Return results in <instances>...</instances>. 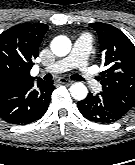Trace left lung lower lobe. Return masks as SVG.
<instances>
[{"instance_id":"0a47b994","label":"left lung lower lobe","mask_w":135,"mask_h":165,"mask_svg":"<svg viewBox=\"0 0 135 165\" xmlns=\"http://www.w3.org/2000/svg\"><path fill=\"white\" fill-rule=\"evenodd\" d=\"M77 106L86 119L97 123L115 122L129 111L103 92L97 95L89 93L84 100L78 102Z\"/></svg>"}]
</instances>
